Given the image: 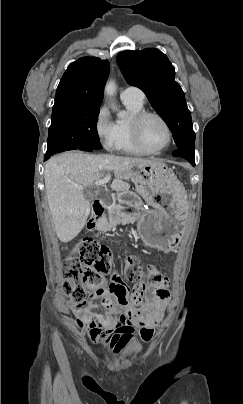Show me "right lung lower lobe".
<instances>
[{
    "label": "right lung lower lobe",
    "mask_w": 243,
    "mask_h": 404,
    "mask_svg": "<svg viewBox=\"0 0 243 404\" xmlns=\"http://www.w3.org/2000/svg\"><path fill=\"white\" fill-rule=\"evenodd\" d=\"M79 150H83V151H93V150H96V149H90V148H81V149H79Z\"/></svg>",
    "instance_id": "1"
}]
</instances>
